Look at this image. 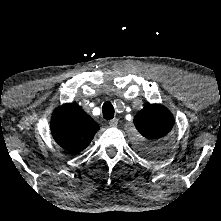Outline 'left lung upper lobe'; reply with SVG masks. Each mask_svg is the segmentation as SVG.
Instances as JSON below:
<instances>
[{
    "label": "left lung upper lobe",
    "instance_id": "5c2ea615",
    "mask_svg": "<svg viewBox=\"0 0 221 221\" xmlns=\"http://www.w3.org/2000/svg\"><path fill=\"white\" fill-rule=\"evenodd\" d=\"M174 124L172 113L163 105L148 104L134 117L137 133L136 148L148 158H161L168 146L167 135Z\"/></svg>",
    "mask_w": 221,
    "mask_h": 221
}]
</instances>
